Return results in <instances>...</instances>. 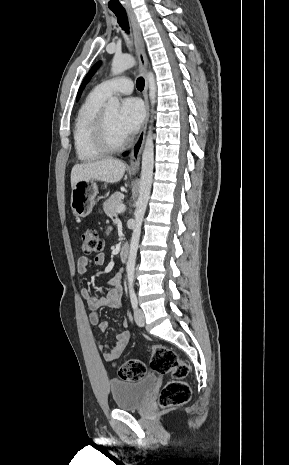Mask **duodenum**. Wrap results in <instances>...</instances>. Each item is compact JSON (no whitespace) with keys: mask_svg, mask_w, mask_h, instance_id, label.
Instances as JSON below:
<instances>
[{"mask_svg":"<svg viewBox=\"0 0 289 465\" xmlns=\"http://www.w3.org/2000/svg\"><path fill=\"white\" fill-rule=\"evenodd\" d=\"M129 256V246L123 245L120 251V258L122 261H126Z\"/></svg>","mask_w":289,"mask_h":465,"instance_id":"1","label":"duodenum"}]
</instances>
